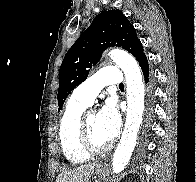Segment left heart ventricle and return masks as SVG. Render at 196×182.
<instances>
[{
  "label": "left heart ventricle",
  "instance_id": "obj_1",
  "mask_svg": "<svg viewBox=\"0 0 196 182\" xmlns=\"http://www.w3.org/2000/svg\"><path fill=\"white\" fill-rule=\"evenodd\" d=\"M86 124L90 142L97 147L106 145L107 142L97 128V115L95 113L92 112L88 115Z\"/></svg>",
  "mask_w": 196,
  "mask_h": 182
}]
</instances>
